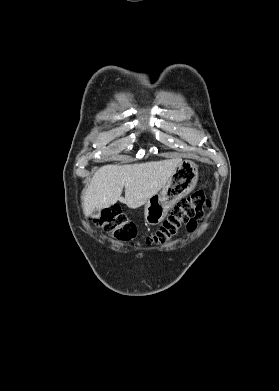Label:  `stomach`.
Here are the masks:
<instances>
[{
  "mask_svg": "<svg viewBox=\"0 0 279 391\" xmlns=\"http://www.w3.org/2000/svg\"><path fill=\"white\" fill-rule=\"evenodd\" d=\"M198 181V166L191 160H183L162 188L144 204V219L150 225L161 223L169 210L188 195Z\"/></svg>",
  "mask_w": 279,
  "mask_h": 391,
  "instance_id": "1",
  "label": "stomach"
}]
</instances>
